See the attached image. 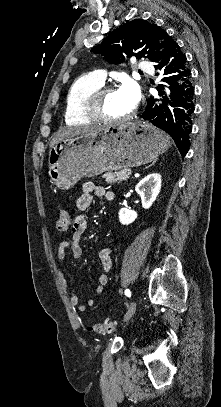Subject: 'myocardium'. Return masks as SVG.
Wrapping results in <instances>:
<instances>
[{
	"mask_svg": "<svg viewBox=\"0 0 221 407\" xmlns=\"http://www.w3.org/2000/svg\"><path fill=\"white\" fill-rule=\"evenodd\" d=\"M114 90H116L114 86H102L92 95L85 109L89 118L94 121L105 123H121L129 120L134 116V109L128 114L121 117H111L106 113L104 105L105 97L108 93Z\"/></svg>",
	"mask_w": 221,
	"mask_h": 407,
	"instance_id": "f54148a6",
	"label": "myocardium"
}]
</instances>
